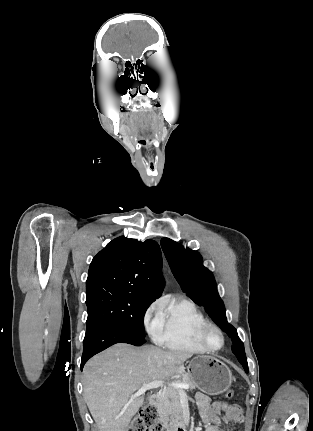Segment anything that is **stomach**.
Instances as JSON below:
<instances>
[{
	"instance_id": "0dacf381",
	"label": "stomach",
	"mask_w": 313,
	"mask_h": 431,
	"mask_svg": "<svg viewBox=\"0 0 313 431\" xmlns=\"http://www.w3.org/2000/svg\"><path fill=\"white\" fill-rule=\"evenodd\" d=\"M201 391L218 395L228 390L234 380L231 370L212 356L200 355L189 361L187 373Z\"/></svg>"
}]
</instances>
